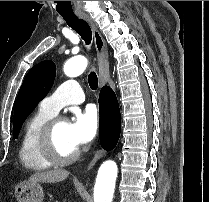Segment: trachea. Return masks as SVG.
<instances>
[{
	"label": "trachea",
	"instance_id": "3493384b",
	"mask_svg": "<svg viewBox=\"0 0 209 202\" xmlns=\"http://www.w3.org/2000/svg\"><path fill=\"white\" fill-rule=\"evenodd\" d=\"M61 16L66 21L68 26L74 29L81 36L86 45H89L91 43L92 31L89 24L85 20L79 19L75 14ZM88 82L92 90H96L98 88V78L94 71L89 73Z\"/></svg>",
	"mask_w": 209,
	"mask_h": 202
}]
</instances>
